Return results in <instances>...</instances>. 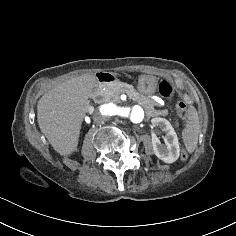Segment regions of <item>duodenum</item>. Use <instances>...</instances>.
<instances>
[{
  "label": "duodenum",
  "instance_id": "duodenum-1",
  "mask_svg": "<svg viewBox=\"0 0 236 236\" xmlns=\"http://www.w3.org/2000/svg\"><path fill=\"white\" fill-rule=\"evenodd\" d=\"M96 81L100 85L109 84L117 81L115 75L111 73H98L96 77Z\"/></svg>",
  "mask_w": 236,
  "mask_h": 236
}]
</instances>
